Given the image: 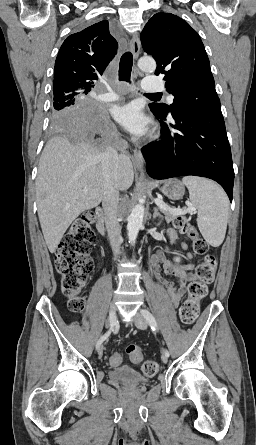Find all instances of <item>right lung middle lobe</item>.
Returning a JSON list of instances; mask_svg holds the SVG:
<instances>
[{
  "instance_id": "1",
  "label": "right lung middle lobe",
  "mask_w": 256,
  "mask_h": 445,
  "mask_svg": "<svg viewBox=\"0 0 256 445\" xmlns=\"http://www.w3.org/2000/svg\"><path fill=\"white\" fill-rule=\"evenodd\" d=\"M87 93L67 92L62 95H54L51 127L53 131H67L73 137L71 125L76 123L78 113L88 102Z\"/></svg>"
}]
</instances>
